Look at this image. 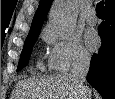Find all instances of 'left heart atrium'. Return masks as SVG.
<instances>
[{
    "mask_svg": "<svg viewBox=\"0 0 115 99\" xmlns=\"http://www.w3.org/2000/svg\"><path fill=\"white\" fill-rule=\"evenodd\" d=\"M85 41H86L87 46L91 50L96 49L99 43V38H98L97 33L93 30L88 31L85 35Z\"/></svg>",
    "mask_w": 115,
    "mask_h": 99,
    "instance_id": "39dd6f15",
    "label": "left heart atrium"
}]
</instances>
